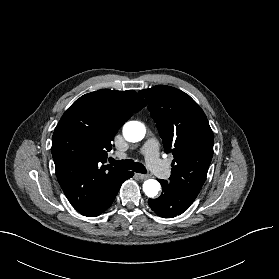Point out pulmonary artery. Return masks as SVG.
I'll use <instances>...</instances> for the list:
<instances>
[{"label":"pulmonary artery","mask_w":279,"mask_h":279,"mask_svg":"<svg viewBox=\"0 0 279 279\" xmlns=\"http://www.w3.org/2000/svg\"><path fill=\"white\" fill-rule=\"evenodd\" d=\"M142 154L145 156L148 166L157 175L164 178L168 174V169L163 161L159 158V145L156 139H149L141 149Z\"/></svg>","instance_id":"1"}]
</instances>
